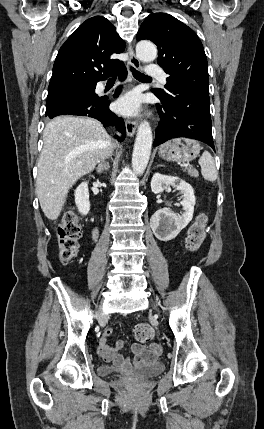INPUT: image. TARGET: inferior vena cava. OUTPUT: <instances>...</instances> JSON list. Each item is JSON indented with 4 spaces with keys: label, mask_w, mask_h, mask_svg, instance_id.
<instances>
[{
    "label": "inferior vena cava",
    "mask_w": 264,
    "mask_h": 429,
    "mask_svg": "<svg viewBox=\"0 0 264 429\" xmlns=\"http://www.w3.org/2000/svg\"><path fill=\"white\" fill-rule=\"evenodd\" d=\"M112 151H113V146H110V147L106 150V152L103 154V156H102V160H104V158H107L108 156H110V154L112 153Z\"/></svg>",
    "instance_id": "inferior-vena-cava-1"
}]
</instances>
